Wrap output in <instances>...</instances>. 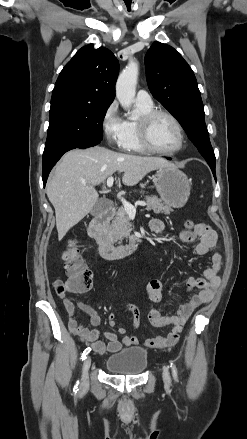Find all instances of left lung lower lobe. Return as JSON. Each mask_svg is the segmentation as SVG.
<instances>
[{
	"instance_id": "0a47b994",
	"label": "left lung lower lobe",
	"mask_w": 247,
	"mask_h": 439,
	"mask_svg": "<svg viewBox=\"0 0 247 439\" xmlns=\"http://www.w3.org/2000/svg\"><path fill=\"white\" fill-rule=\"evenodd\" d=\"M167 159L171 160V158H167ZM211 170H212V173H213L214 176H215V167H211ZM215 179H216V176H215Z\"/></svg>"
}]
</instances>
